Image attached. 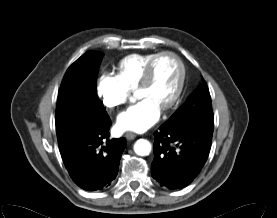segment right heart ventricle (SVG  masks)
Wrapping results in <instances>:
<instances>
[{"label":"right heart ventricle","mask_w":277,"mask_h":218,"mask_svg":"<svg viewBox=\"0 0 277 218\" xmlns=\"http://www.w3.org/2000/svg\"><path fill=\"white\" fill-rule=\"evenodd\" d=\"M156 53L132 54L119 63V76L131 88L135 89L141 81L145 69Z\"/></svg>","instance_id":"1"}]
</instances>
